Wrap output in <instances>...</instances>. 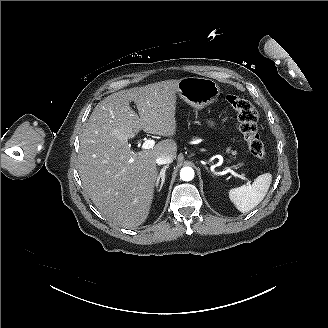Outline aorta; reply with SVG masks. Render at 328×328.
Instances as JSON below:
<instances>
[{"label":"aorta","instance_id":"obj_1","mask_svg":"<svg viewBox=\"0 0 328 328\" xmlns=\"http://www.w3.org/2000/svg\"><path fill=\"white\" fill-rule=\"evenodd\" d=\"M180 178L183 181H191L194 178V170L191 167H183L180 170Z\"/></svg>","mask_w":328,"mask_h":328}]
</instances>
